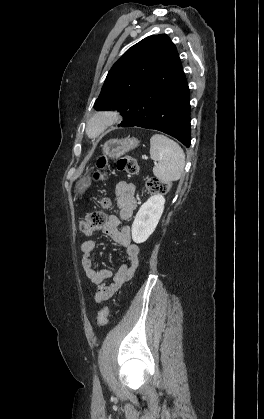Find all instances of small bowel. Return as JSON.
Segmentation results:
<instances>
[{"instance_id":"c3829d8e","label":"small bowel","mask_w":264,"mask_h":419,"mask_svg":"<svg viewBox=\"0 0 264 419\" xmlns=\"http://www.w3.org/2000/svg\"><path fill=\"white\" fill-rule=\"evenodd\" d=\"M114 196L119 208L118 215H109L102 232L125 249L126 264H122L113 275L107 268L97 269L93 266L96 241L89 239L82 243V266L88 279L95 286V301L98 303L109 300L122 285L132 278L139 264V246L133 242L131 228L120 227L121 221H129L137 206L135 186L126 181H119L114 187ZM111 278L110 282L106 280Z\"/></svg>"}]
</instances>
